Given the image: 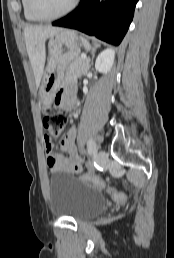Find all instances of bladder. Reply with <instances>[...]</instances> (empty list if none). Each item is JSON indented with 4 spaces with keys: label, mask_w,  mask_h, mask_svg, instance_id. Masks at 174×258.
<instances>
[{
    "label": "bladder",
    "mask_w": 174,
    "mask_h": 258,
    "mask_svg": "<svg viewBox=\"0 0 174 258\" xmlns=\"http://www.w3.org/2000/svg\"><path fill=\"white\" fill-rule=\"evenodd\" d=\"M107 205L96 189L74 177L57 172L49 179V207L53 214L83 221L101 213Z\"/></svg>",
    "instance_id": "31cf9c89"
}]
</instances>
